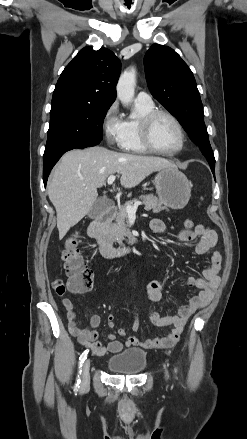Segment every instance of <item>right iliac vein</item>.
Wrapping results in <instances>:
<instances>
[{
    "label": "right iliac vein",
    "instance_id": "obj_1",
    "mask_svg": "<svg viewBox=\"0 0 247 439\" xmlns=\"http://www.w3.org/2000/svg\"><path fill=\"white\" fill-rule=\"evenodd\" d=\"M89 370H90V360L87 359L84 362V364L82 366V369H81V372H82V374H81V386L82 387H86L89 384V381H90Z\"/></svg>",
    "mask_w": 247,
    "mask_h": 439
}]
</instances>
